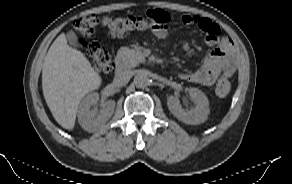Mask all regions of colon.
Returning a JSON list of instances; mask_svg holds the SVG:
<instances>
[{"instance_id":"obj_1","label":"colon","mask_w":292,"mask_h":184,"mask_svg":"<svg viewBox=\"0 0 292 184\" xmlns=\"http://www.w3.org/2000/svg\"><path fill=\"white\" fill-rule=\"evenodd\" d=\"M169 15L162 10H150L147 15H126L120 17H99L93 14L81 16L73 22V27L81 35L79 41L86 48L95 67L104 74L112 72L110 52L98 43H89L85 37L93 35L98 27H104L110 35L120 37L133 31L151 30L156 32L164 27ZM216 94L224 98L230 92V80L222 75L215 87Z\"/></svg>"}]
</instances>
